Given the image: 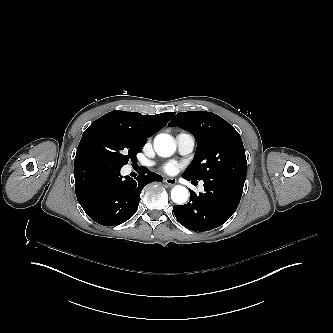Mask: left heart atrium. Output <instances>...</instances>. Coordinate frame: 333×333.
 I'll return each instance as SVG.
<instances>
[{
	"instance_id": "1",
	"label": "left heart atrium",
	"mask_w": 333,
	"mask_h": 333,
	"mask_svg": "<svg viewBox=\"0 0 333 333\" xmlns=\"http://www.w3.org/2000/svg\"><path fill=\"white\" fill-rule=\"evenodd\" d=\"M179 169L180 165L177 164L176 162H169L163 167V170L169 175L176 174L179 171Z\"/></svg>"
}]
</instances>
